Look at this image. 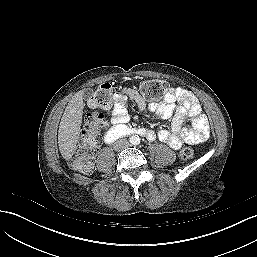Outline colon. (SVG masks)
<instances>
[{"label":"colon","mask_w":257,"mask_h":257,"mask_svg":"<svg viewBox=\"0 0 257 257\" xmlns=\"http://www.w3.org/2000/svg\"><path fill=\"white\" fill-rule=\"evenodd\" d=\"M167 90V83L161 80H147L140 86L142 97L148 102L160 100ZM115 91L112 86H100L88 100L89 107L93 110L86 122L84 137L81 145L71 159V167L81 172L92 169V156L95 153L96 139L101 128L106 124V117L102 111L111 110ZM194 149L186 147L181 150L180 158L190 160L194 157Z\"/></svg>","instance_id":"5ec220e1"}]
</instances>
